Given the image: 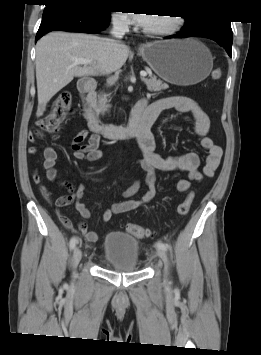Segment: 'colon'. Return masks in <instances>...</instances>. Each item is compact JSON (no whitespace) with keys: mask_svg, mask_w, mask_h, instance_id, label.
Wrapping results in <instances>:
<instances>
[{"mask_svg":"<svg viewBox=\"0 0 261 355\" xmlns=\"http://www.w3.org/2000/svg\"><path fill=\"white\" fill-rule=\"evenodd\" d=\"M223 72L221 69L213 70L211 77L213 80H220L222 78ZM72 104V94L69 90L61 91L57 98L52 104V108L49 114L37 122V129L35 131L36 135H41L43 133L55 134L57 133L60 125H62L71 113ZM194 195L190 193L187 197L178 205L177 213L180 216H185L189 213ZM125 229L128 233L137 238H145L151 235L148 228L138 225L128 223L125 225Z\"/></svg>","mask_w":261,"mask_h":355,"instance_id":"5ec220e1","label":"colon"}]
</instances>
